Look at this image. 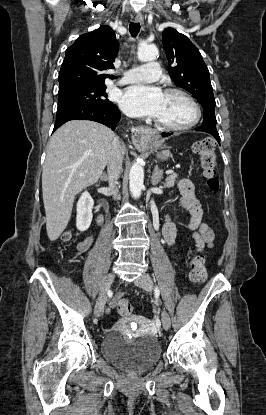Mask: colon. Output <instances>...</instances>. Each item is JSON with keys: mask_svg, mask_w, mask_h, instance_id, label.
Masks as SVG:
<instances>
[{"mask_svg": "<svg viewBox=\"0 0 266 415\" xmlns=\"http://www.w3.org/2000/svg\"><path fill=\"white\" fill-rule=\"evenodd\" d=\"M193 151L199 156L202 175L206 179L207 186L212 191H216L219 187V181L214 140L207 137L195 142ZM71 238V232H65L62 236L64 241H69ZM190 265V280L196 284L203 283L207 278V269L203 256H194ZM117 311L121 316H129L133 312V307L127 299H120L117 302Z\"/></svg>", "mask_w": 266, "mask_h": 415, "instance_id": "1", "label": "colon"}]
</instances>
